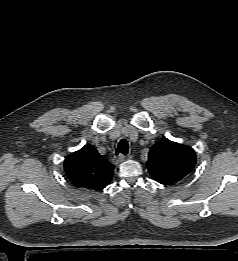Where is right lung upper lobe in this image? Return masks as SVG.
Returning <instances> with one entry per match:
<instances>
[{
	"mask_svg": "<svg viewBox=\"0 0 238 261\" xmlns=\"http://www.w3.org/2000/svg\"><path fill=\"white\" fill-rule=\"evenodd\" d=\"M64 169L75 186L100 191L112 180L114 166L94 147L85 145L66 157Z\"/></svg>",
	"mask_w": 238,
	"mask_h": 261,
	"instance_id": "1",
	"label": "right lung upper lobe"
}]
</instances>
